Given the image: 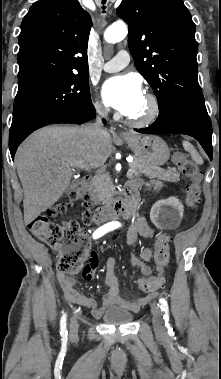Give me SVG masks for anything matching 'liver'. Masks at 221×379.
<instances>
[{
  "instance_id": "6515ba94",
  "label": "liver",
  "mask_w": 221,
  "mask_h": 379,
  "mask_svg": "<svg viewBox=\"0 0 221 379\" xmlns=\"http://www.w3.org/2000/svg\"><path fill=\"white\" fill-rule=\"evenodd\" d=\"M112 152L111 135L91 136L83 127L48 126L31 134L15 156L24 190V222L50 208L70 184L76 165L102 166Z\"/></svg>"
}]
</instances>
